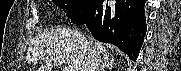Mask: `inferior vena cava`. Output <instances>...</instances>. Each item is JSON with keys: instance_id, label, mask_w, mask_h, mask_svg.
Returning <instances> with one entry per match:
<instances>
[{"instance_id": "1", "label": "inferior vena cava", "mask_w": 181, "mask_h": 71, "mask_svg": "<svg viewBox=\"0 0 181 71\" xmlns=\"http://www.w3.org/2000/svg\"><path fill=\"white\" fill-rule=\"evenodd\" d=\"M88 47V62L85 71H99L101 65V59L99 54L94 49L92 42L85 41Z\"/></svg>"}]
</instances>
